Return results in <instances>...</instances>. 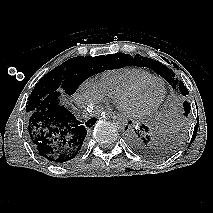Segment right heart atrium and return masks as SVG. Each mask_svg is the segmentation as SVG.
I'll return each instance as SVG.
<instances>
[{"label": "right heart atrium", "instance_id": "d8ad5b80", "mask_svg": "<svg viewBox=\"0 0 213 213\" xmlns=\"http://www.w3.org/2000/svg\"><path fill=\"white\" fill-rule=\"evenodd\" d=\"M79 101L86 105L100 104L106 101V97L98 90L95 83L87 81L79 89Z\"/></svg>", "mask_w": 213, "mask_h": 213}]
</instances>
